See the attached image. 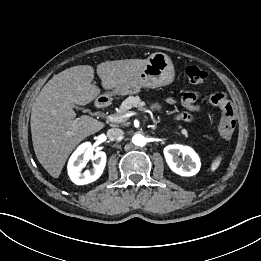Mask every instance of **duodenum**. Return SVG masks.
I'll return each instance as SVG.
<instances>
[{
    "label": "duodenum",
    "mask_w": 261,
    "mask_h": 261,
    "mask_svg": "<svg viewBox=\"0 0 261 261\" xmlns=\"http://www.w3.org/2000/svg\"><path fill=\"white\" fill-rule=\"evenodd\" d=\"M109 105V100L105 97H101L96 101V106L99 108H105Z\"/></svg>",
    "instance_id": "410a0bca"
}]
</instances>
